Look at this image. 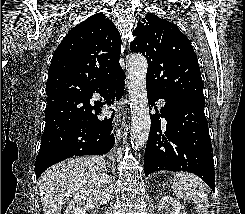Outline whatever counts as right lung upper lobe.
I'll return each mask as SVG.
<instances>
[{"label":"right lung upper lobe","mask_w":245,"mask_h":214,"mask_svg":"<svg viewBox=\"0 0 245 214\" xmlns=\"http://www.w3.org/2000/svg\"><path fill=\"white\" fill-rule=\"evenodd\" d=\"M117 28L96 13L68 32L55 50L48 71L47 99L63 94L74 110L108 82L124 74Z\"/></svg>","instance_id":"obj_1"}]
</instances>
